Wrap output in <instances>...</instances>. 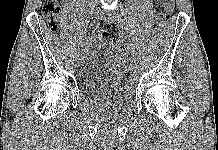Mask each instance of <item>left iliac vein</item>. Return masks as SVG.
I'll list each match as a JSON object with an SVG mask.
<instances>
[{
    "label": "left iliac vein",
    "mask_w": 218,
    "mask_h": 150,
    "mask_svg": "<svg viewBox=\"0 0 218 150\" xmlns=\"http://www.w3.org/2000/svg\"><path fill=\"white\" fill-rule=\"evenodd\" d=\"M103 18L105 21H107L109 23H113L118 27L120 26V20L122 19L121 15H119L118 13L108 14L107 16H104ZM127 68H128L129 73L133 72L131 64H128Z\"/></svg>",
    "instance_id": "4c4485c4"
}]
</instances>
